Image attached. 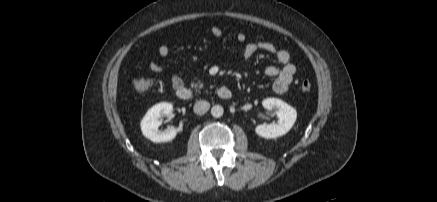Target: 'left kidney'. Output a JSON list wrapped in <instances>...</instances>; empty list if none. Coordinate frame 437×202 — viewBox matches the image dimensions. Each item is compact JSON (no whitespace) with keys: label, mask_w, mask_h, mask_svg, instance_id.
<instances>
[{"label":"left kidney","mask_w":437,"mask_h":202,"mask_svg":"<svg viewBox=\"0 0 437 202\" xmlns=\"http://www.w3.org/2000/svg\"><path fill=\"white\" fill-rule=\"evenodd\" d=\"M262 105L265 109L274 111L278 121L256 126L255 132L259 136L266 139L277 138L285 135L293 127L297 118V112L293 107L277 98L264 99Z\"/></svg>","instance_id":"left-kidney-1"}]
</instances>
